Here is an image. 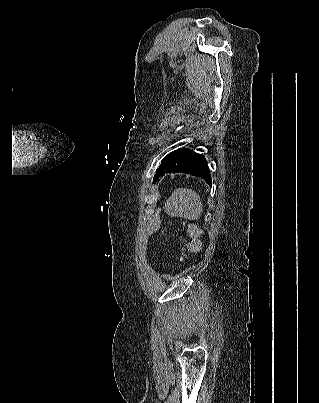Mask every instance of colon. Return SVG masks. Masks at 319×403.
Listing matches in <instances>:
<instances>
[{"label":"colon","mask_w":319,"mask_h":403,"mask_svg":"<svg viewBox=\"0 0 319 403\" xmlns=\"http://www.w3.org/2000/svg\"><path fill=\"white\" fill-rule=\"evenodd\" d=\"M188 234L191 237V240L186 243V246L182 250V254L180 256V261H184L187 258L189 253H194L198 250L199 243L197 242L196 238L198 236V232L194 229H188Z\"/></svg>","instance_id":"5ec220e1"}]
</instances>
